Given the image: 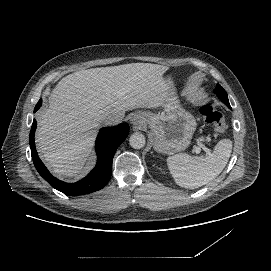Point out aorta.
Wrapping results in <instances>:
<instances>
[{
    "label": "aorta",
    "instance_id": "obj_1",
    "mask_svg": "<svg viewBox=\"0 0 271 271\" xmlns=\"http://www.w3.org/2000/svg\"><path fill=\"white\" fill-rule=\"evenodd\" d=\"M145 136L140 132L133 133L129 138V144L134 149H141L145 146Z\"/></svg>",
    "mask_w": 271,
    "mask_h": 271
}]
</instances>
